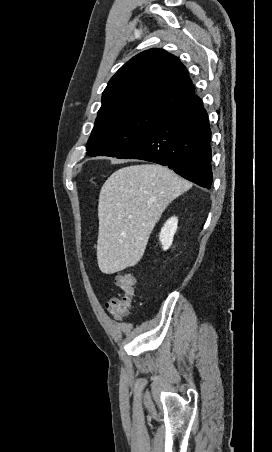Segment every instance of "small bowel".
Masks as SVG:
<instances>
[{
  "label": "small bowel",
  "mask_w": 272,
  "mask_h": 452,
  "mask_svg": "<svg viewBox=\"0 0 272 452\" xmlns=\"http://www.w3.org/2000/svg\"><path fill=\"white\" fill-rule=\"evenodd\" d=\"M107 306V305H106ZM115 315V314H114ZM115 317L117 318V319H119V320H121L122 318H123V316H117V315H115Z\"/></svg>",
  "instance_id": "small-bowel-1"
}]
</instances>
